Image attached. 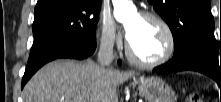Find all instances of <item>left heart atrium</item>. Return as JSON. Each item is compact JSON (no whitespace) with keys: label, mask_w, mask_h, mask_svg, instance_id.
Wrapping results in <instances>:
<instances>
[{"label":"left heart atrium","mask_w":221,"mask_h":102,"mask_svg":"<svg viewBox=\"0 0 221 102\" xmlns=\"http://www.w3.org/2000/svg\"><path fill=\"white\" fill-rule=\"evenodd\" d=\"M126 35H127V38H128V40L131 38V36H132V31L130 30V29H128L127 28V30H126Z\"/></svg>","instance_id":"39dd6f15"}]
</instances>
